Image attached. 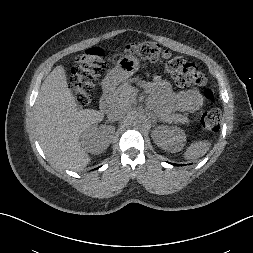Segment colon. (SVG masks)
Returning a JSON list of instances; mask_svg holds the SVG:
<instances>
[{
  "instance_id": "colon-1",
  "label": "colon",
  "mask_w": 253,
  "mask_h": 253,
  "mask_svg": "<svg viewBox=\"0 0 253 253\" xmlns=\"http://www.w3.org/2000/svg\"><path fill=\"white\" fill-rule=\"evenodd\" d=\"M125 51L144 60L163 64L166 71L179 86H202L206 83V76L197 64L186 61L179 56L171 55L154 42L132 43L126 46ZM106 65V55L98 47H91L76 57L69 85L79 107H84L90 103L93 89ZM203 96L211 107L201 114L200 127L203 130L215 131L219 128L221 114L213 106L215 102L214 91L207 87L204 89Z\"/></svg>"
}]
</instances>
